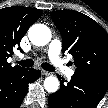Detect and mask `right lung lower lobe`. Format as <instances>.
<instances>
[{
	"mask_svg": "<svg viewBox=\"0 0 108 108\" xmlns=\"http://www.w3.org/2000/svg\"><path fill=\"white\" fill-rule=\"evenodd\" d=\"M40 70L23 69L13 74L0 76V108H19L29 83L37 80Z\"/></svg>",
	"mask_w": 108,
	"mask_h": 108,
	"instance_id": "obj_1",
	"label": "right lung lower lobe"
}]
</instances>
